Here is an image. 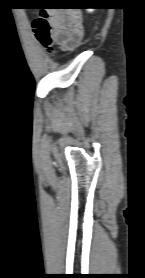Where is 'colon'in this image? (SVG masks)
<instances>
[{"label": "colon", "instance_id": "5ec220e1", "mask_svg": "<svg viewBox=\"0 0 145 278\" xmlns=\"http://www.w3.org/2000/svg\"><path fill=\"white\" fill-rule=\"evenodd\" d=\"M63 7L73 8V9H83L85 8L82 3H73V4H65ZM39 9V13L37 18L34 20V29L37 38L39 41L45 46L48 47L51 42V34H52V23L50 12L53 10V6L47 7H36Z\"/></svg>", "mask_w": 145, "mask_h": 278}]
</instances>
